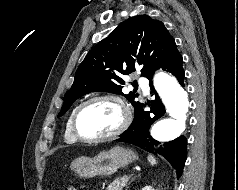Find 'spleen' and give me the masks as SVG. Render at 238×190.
I'll use <instances>...</instances> for the list:
<instances>
[{
	"instance_id": "spleen-1",
	"label": "spleen",
	"mask_w": 238,
	"mask_h": 190,
	"mask_svg": "<svg viewBox=\"0 0 238 190\" xmlns=\"http://www.w3.org/2000/svg\"><path fill=\"white\" fill-rule=\"evenodd\" d=\"M148 161H149V163H150L152 166H154V165L157 164L156 159H155L153 156H151V155L148 156Z\"/></svg>"
}]
</instances>
